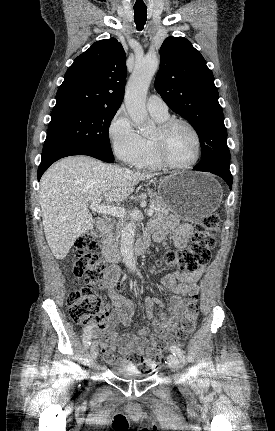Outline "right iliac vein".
Instances as JSON below:
<instances>
[{"mask_svg": "<svg viewBox=\"0 0 275 431\" xmlns=\"http://www.w3.org/2000/svg\"><path fill=\"white\" fill-rule=\"evenodd\" d=\"M98 343L97 341H92L91 343V347H90V355L92 360H96L97 356H98Z\"/></svg>", "mask_w": 275, "mask_h": 431, "instance_id": "1", "label": "right iliac vein"}]
</instances>
